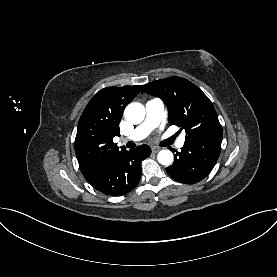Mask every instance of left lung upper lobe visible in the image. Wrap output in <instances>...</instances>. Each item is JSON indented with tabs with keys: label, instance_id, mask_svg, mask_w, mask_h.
<instances>
[{
	"label": "left lung upper lobe",
	"instance_id": "1",
	"mask_svg": "<svg viewBox=\"0 0 277 277\" xmlns=\"http://www.w3.org/2000/svg\"><path fill=\"white\" fill-rule=\"evenodd\" d=\"M142 92L164 101L169 110V123L185 130V140L222 135L211 101L189 80L175 76L156 80L145 84Z\"/></svg>",
	"mask_w": 277,
	"mask_h": 277
}]
</instances>
